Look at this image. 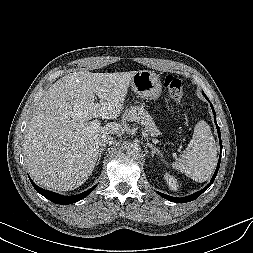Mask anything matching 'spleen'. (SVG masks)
Masks as SVG:
<instances>
[{
    "label": "spleen",
    "mask_w": 253,
    "mask_h": 253,
    "mask_svg": "<svg viewBox=\"0 0 253 253\" xmlns=\"http://www.w3.org/2000/svg\"><path fill=\"white\" fill-rule=\"evenodd\" d=\"M217 162V147L209 125L200 120L186 151L172 163V168L197 182L212 175Z\"/></svg>",
    "instance_id": "1"
}]
</instances>
